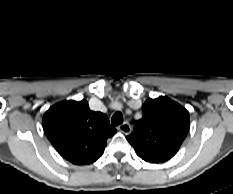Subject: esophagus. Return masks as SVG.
<instances>
[{
	"instance_id": "esophagus-1",
	"label": "esophagus",
	"mask_w": 233,
	"mask_h": 194,
	"mask_svg": "<svg viewBox=\"0 0 233 194\" xmlns=\"http://www.w3.org/2000/svg\"><path fill=\"white\" fill-rule=\"evenodd\" d=\"M118 130H120L122 133L128 135L131 133L132 128H131V125L129 123L125 122V123L120 124L118 126Z\"/></svg>"
}]
</instances>
